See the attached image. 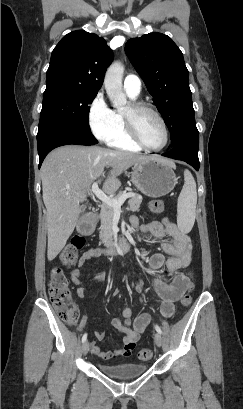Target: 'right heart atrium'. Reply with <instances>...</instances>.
Wrapping results in <instances>:
<instances>
[{
    "instance_id": "right-heart-atrium-1",
    "label": "right heart atrium",
    "mask_w": 243,
    "mask_h": 409,
    "mask_svg": "<svg viewBox=\"0 0 243 409\" xmlns=\"http://www.w3.org/2000/svg\"><path fill=\"white\" fill-rule=\"evenodd\" d=\"M88 125L94 136L109 142L118 133L121 122L117 113L108 105L103 92H98L91 100L87 111Z\"/></svg>"
}]
</instances>
